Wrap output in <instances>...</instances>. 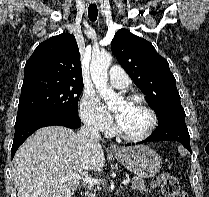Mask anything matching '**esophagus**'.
<instances>
[{"instance_id":"1","label":"esophagus","mask_w":209,"mask_h":197,"mask_svg":"<svg viewBox=\"0 0 209 197\" xmlns=\"http://www.w3.org/2000/svg\"><path fill=\"white\" fill-rule=\"evenodd\" d=\"M92 3H94L95 0H90ZM110 150L113 152V153H120L121 150L118 146L116 145H111L110 146Z\"/></svg>"}]
</instances>
